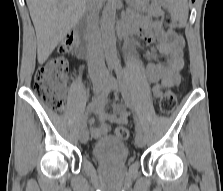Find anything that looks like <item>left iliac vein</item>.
Wrapping results in <instances>:
<instances>
[{"label":"left iliac vein","mask_w":223,"mask_h":191,"mask_svg":"<svg viewBox=\"0 0 223 191\" xmlns=\"http://www.w3.org/2000/svg\"><path fill=\"white\" fill-rule=\"evenodd\" d=\"M105 87H110L114 92H119L121 86L118 84L117 80L113 76H108L105 81ZM122 91V88H121ZM145 144L144 136L141 132H136L135 145L142 148Z\"/></svg>","instance_id":"1"}]
</instances>
